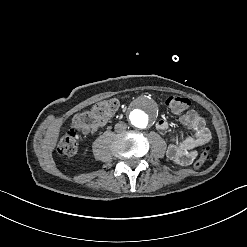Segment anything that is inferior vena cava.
<instances>
[{
	"label": "inferior vena cava",
	"mask_w": 247,
	"mask_h": 247,
	"mask_svg": "<svg viewBox=\"0 0 247 247\" xmlns=\"http://www.w3.org/2000/svg\"><path fill=\"white\" fill-rule=\"evenodd\" d=\"M127 128V124L124 123V122H118L116 125H115V131L116 132H124Z\"/></svg>",
	"instance_id": "602c4592"
}]
</instances>
